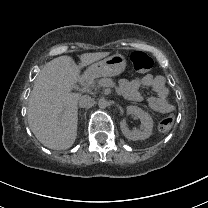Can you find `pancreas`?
I'll return each mask as SVG.
<instances>
[{
  "label": "pancreas",
  "instance_id": "cf45deb5",
  "mask_svg": "<svg viewBox=\"0 0 208 208\" xmlns=\"http://www.w3.org/2000/svg\"><path fill=\"white\" fill-rule=\"evenodd\" d=\"M108 81L109 80L107 78H102L97 81H91V82H90V80H87L85 82V85L87 86L88 90H92V89H97V88L101 87L103 83H107Z\"/></svg>",
  "mask_w": 208,
  "mask_h": 208
}]
</instances>
